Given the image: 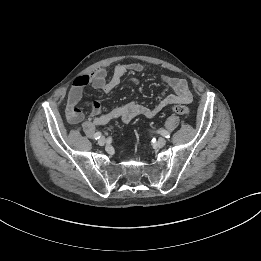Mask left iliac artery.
I'll use <instances>...</instances> for the list:
<instances>
[{"mask_svg": "<svg viewBox=\"0 0 261 261\" xmlns=\"http://www.w3.org/2000/svg\"><path fill=\"white\" fill-rule=\"evenodd\" d=\"M158 133H160L162 136H164L165 138H170V134L168 131L164 130V129H160L158 131Z\"/></svg>", "mask_w": 261, "mask_h": 261, "instance_id": "obj_1", "label": "left iliac artery"}]
</instances>
